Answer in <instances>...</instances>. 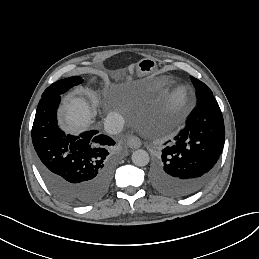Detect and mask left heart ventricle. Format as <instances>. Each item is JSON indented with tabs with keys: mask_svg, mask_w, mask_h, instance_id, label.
Instances as JSON below:
<instances>
[{
	"mask_svg": "<svg viewBox=\"0 0 259 259\" xmlns=\"http://www.w3.org/2000/svg\"><path fill=\"white\" fill-rule=\"evenodd\" d=\"M151 86L163 89L164 102L172 108L180 109L189 103L190 92L184 83L172 81L166 83H153Z\"/></svg>",
	"mask_w": 259,
	"mask_h": 259,
	"instance_id": "b2bd125f",
	"label": "left heart ventricle"
}]
</instances>
